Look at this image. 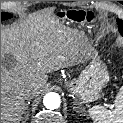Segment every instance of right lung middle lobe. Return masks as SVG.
<instances>
[{
    "instance_id": "right-lung-middle-lobe-1",
    "label": "right lung middle lobe",
    "mask_w": 123,
    "mask_h": 123,
    "mask_svg": "<svg viewBox=\"0 0 123 123\" xmlns=\"http://www.w3.org/2000/svg\"><path fill=\"white\" fill-rule=\"evenodd\" d=\"M12 15L6 12H1V21L11 18Z\"/></svg>"
}]
</instances>
